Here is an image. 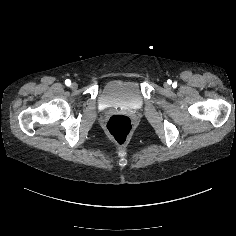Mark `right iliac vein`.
Returning <instances> with one entry per match:
<instances>
[{"mask_svg": "<svg viewBox=\"0 0 236 236\" xmlns=\"http://www.w3.org/2000/svg\"><path fill=\"white\" fill-rule=\"evenodd\" d=\"M77 84L75 83V82H73L72 84H71V88H72V90H75V89H77Z\"/></svg>", "mask_w": 236, "mask_h": 236, "instance_id": "obj_1", "label": "right iliac vein"}]
</instances>
